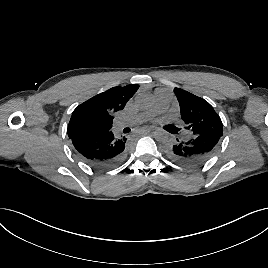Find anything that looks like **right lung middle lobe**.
Instances as JSON below:
<instances>
[{"label":"right lung middle lobe","mask_w":268,"mask_h":268,"mask_svg":"<svg viewBox=\"0 0 268 268\" xmlns=\"http://www.w3.org/2000/svg\"><path fill=\"white\" fill-rule=\"evenodd\" d=\"M74 133L77 136H90V135H95V130L87 124H81L78 125L75 129H74Z\"/></svg>","instance_id":"obj_1"}]
</instances>
